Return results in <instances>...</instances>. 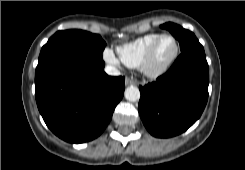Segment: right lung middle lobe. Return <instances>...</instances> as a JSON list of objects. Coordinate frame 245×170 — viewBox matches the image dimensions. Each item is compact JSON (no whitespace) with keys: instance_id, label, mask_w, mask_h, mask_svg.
Instances as JSON below:
<instances>
[{"instance_id":"dd1d6c3e","label":"right lung middle lobe","mask_w":245,"mask_h":170,"mask_svg":"<svg viewBox=\"0 0 245 170\" xmlns=\"http://www.w3.org/2000/svg\"><path fill=\"white\" fill-rule=\"evenodd\" d=\"M105 46L106 43L97 34L82 30L58 31L42 47L35 74H38L56 59L68 55L102 59Z\"/></svg>"}]
</instances>
